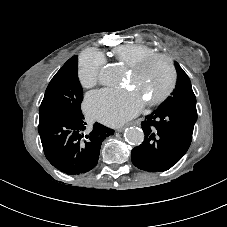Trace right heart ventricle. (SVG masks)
Returning <instances> with one entry per match:
<instances>
[{
  "mask_svg": "<svg viewBox=\"0 0 227 227\" xmlns=\"http://www.w3.org/2000/svg\"><path fill=\"white\" fill-rule=\"evenodd\" d=\"M153 54L156 52L152 48L140 44H124L113 50V55L129 67Z\"/></svg>",
  "mask_w": 227,
  "mask_h": 227,
  "instance_id": "obj_1",
  "label": "right heart ventricle"
}]
</instances>
